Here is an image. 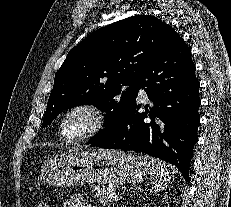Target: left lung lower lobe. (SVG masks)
I'll return each mask as SVG.
<instances>
[{"label": "left lung lower lobe", "instance_id": "1", "mask_svg": "<svg viewBox=\"0 0 231 207\" xmlns=\"http://www.w3.org/2000/svg\"><path fill=\"white\" fill-rule=\"evenodd\" d=\"M195 70L190 48L180 37L147 64L138 80V90L144 88L153 106L139 113L135 101L118 129L91 140V146L147 153L174 164L187 181L200 121Z\"/></svg>", "mask_w": 231, "mask_h": 207}]
</instances>
